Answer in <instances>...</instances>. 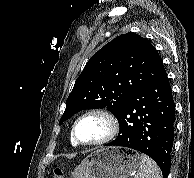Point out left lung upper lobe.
<instances>
[{
    "mask_svg": "<svg viewBox=\"0 0 194 178\" xmlns=\"http://www.w3.org/2000/svg\"><path fill=\"white\" fill-rule=\"evenodd\" d=\"M165 70L153 45L129 32L97 51L87 62L67 98L60 124L75 113L107 107L115 114L121 103Z\"/></svg>",
    "mask_w": 194,
    "mask_h": 178,
    "instance_id": "left-lung-upper-lobe-1",
    "label": "left lung upper lobe"
}]
</instances>
